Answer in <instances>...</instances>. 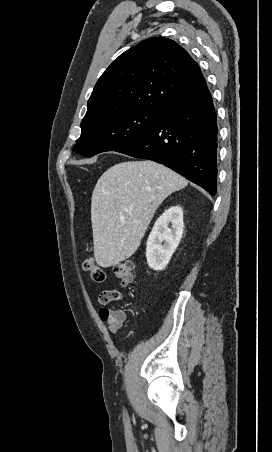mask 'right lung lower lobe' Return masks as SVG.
I'll list each match as a JSON object with an SVG mask.
<instances>
[{
    "label": "right lung lower lobe",
    "instance_id": "obj_1",
    "mask_svg": "<svg viewBox=\"0 0 272 452\" xmlns=\"http://www.w3.org/2000/svg\"><path fill=\"white\" fill-rule=\"evenodd\" d=\"M217 117L207 85L166 109L138 139L117 152L163 164L214 196Z\"/></svg>",
    "mask_w": 272,
    "mask_h": 452
}]
</instances>
